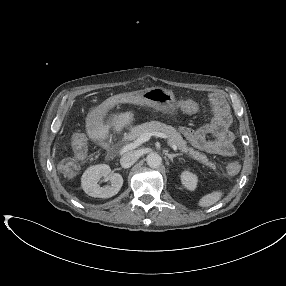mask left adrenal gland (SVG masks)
<instances>
[{
  "label": "left adrenal gland",
  "mask_w": 286,
  "mask_h": 286,
  "mask_svg": "<svg viewBox=\"0 0 286 286\" xmlns=\"http://www.w3.org/2000/svg\"><path fill=\"white\" fill-rule=\"evenodd\" d=\"M181 153H176V154H167L168 158L173 162V159L177 156H181Z\"/></svg>",
  "instance_id": "left-adrenal-gland-1"
}]
</instances>
